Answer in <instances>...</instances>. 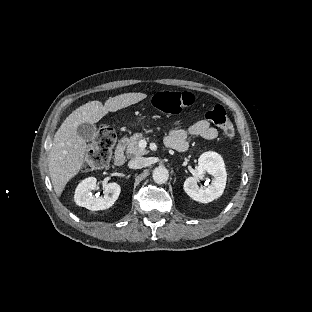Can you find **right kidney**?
<instances>
[{"label": "right kidney", "instance_id": "right-kidney-1", "mask_svg": "<svg viewBox=\"0 0 312 312\" xmlns=\"http://www.w3.org/2000/svg\"><path fill=\"white\" fill-rule=\"evenodd\" d=\"M103 197H95L93 191L98 190L95 178H87L82 181L75 191V203L89 210H105L110 208L118 199L121 187L118 183L110 182L102 184Z\"/></svg>", "mask_w": 312, "mask_h": 312}]
</instances>
